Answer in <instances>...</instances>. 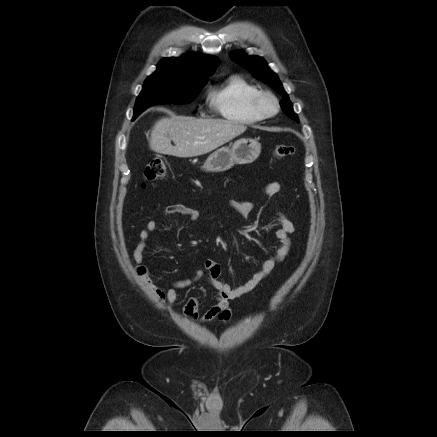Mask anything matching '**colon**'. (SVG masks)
<instances>
[{
  "mask_svg": "<svg viewBox=\"0 0 437 437\" xmlns=\"http://www.w3.org/2000/svg\"><path fill=\"white\" fill-rule=\"evenodd\" d=\"M294 147L291 145H278L274 149V155L277 158H284L294 154ZM168 168V162L164 157L153 158L146 166L144 178L146 181L152 182L165 175ZM146 268L141 266L138 268V273L142 276L146 275Z\"/></svg>",
  "mask_w": 437,
  "mask_h": 437,
  "instance_id": "colon-1",
  "label": "colon"
}]
</instances>
